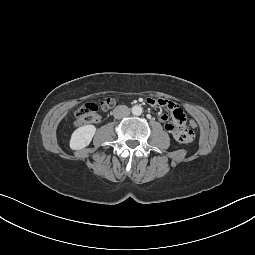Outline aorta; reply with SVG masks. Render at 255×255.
Returning <instances> with one entry per match:
<instances>
[{
    "instance_id": "aorta-1",
    "label": "aorta",
    "mask_w": 255,
    "mask_h": 255,
    "mask_svg": "<svg viewBox=\"0 0 255 255\" xmlns=\"http://www.w3.org/2000/svg\"><path fill=\"white\" fill-rule=\"evenodd\" d=\"M142 112H143V109H142L141 106L135 105V106L132 107V114L133 115L139 116V115L142 114Z\"/></svg>"
}]
</instances>
